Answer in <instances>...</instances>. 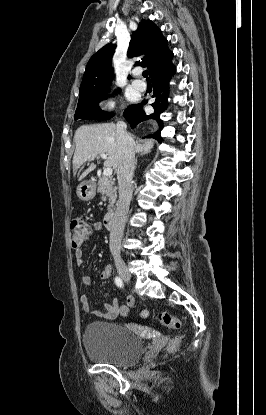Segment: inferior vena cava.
<instances>
[{
	"label": "inferior vena cava",
	"mask_w": 266,
	"mask_h": 415,
	"mask_svg": "<svg viewBox=\"0 0 266 415\" xmlns=\"http://www.w3.org/2000/svg\"><path fill=\"white\" fill-rule=\"evenodd\" d=\"M126 128V123L123 121L117 122V141L120 148V160L117 168L119 199L109 237V248L114 257H120L121 240L132 198L131 182L135 168L133 140L126 132Z\"/></svg>",
	"instance_id": "602c4592"
}]
</instances>
